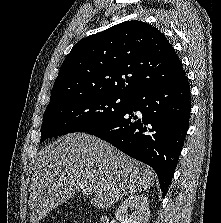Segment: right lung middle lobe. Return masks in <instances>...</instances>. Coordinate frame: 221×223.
Returning a JSON list of instances; mask_svg holds the SVG:
<instances>
[{
	"instance_id": "1",
	"label": "right lung middle lobe",
	"mask_w": 221,
	"mask_h": 223,
	"mask_svg": "<svg viewBox=\"0 0 221 223\" xmlns=\"http://www.w3.org/2000/svg\"><path fill=\"white\" fill-rule=\"evenodd\" d=\"M130 98L110 94H83L49 103L41 127V140L72 132H86L124 112Z\"/></svg>"
}]
</instances>
